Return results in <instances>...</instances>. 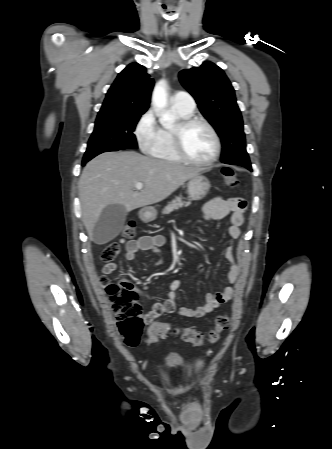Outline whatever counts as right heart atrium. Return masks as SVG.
Wrapping results in <instances>:
<instances>
[{
  "mask_svg": "<svg viewBox=\"0 0 332 449\" xmlns=\"http://www.w3.org/2000/svg\"><path fill=\"white\" fill-rule=\"evenodd\" d=\"M160 128L153 110H147L138 120L135 127V135L139 147L144 152H150L155 145Z\"/></svg>",
  "mask_w": 332,
  "mask_h": 449,
  "instance_id": "d8ad5b80",
  "label": "right heart atrium"
}]
</instances>
